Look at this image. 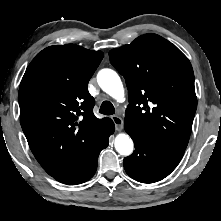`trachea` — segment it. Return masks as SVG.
<instances>
[{
	"label": "trachea",
	"instance_id": "1",
	"mask_svg": "<svg viewBox=\"0 0 221 221\" xmlns=\"http://www.w3.org/2000/svg\"><path fill=\"white\" fill-rule=\"evenodd\" d=\"M99 112L104 115H112L115 113V108L111 102L104 101L100 106Z\"/></svg>",
	"mask_w": 221,
	"mask_h": 221
}]
</instances>
